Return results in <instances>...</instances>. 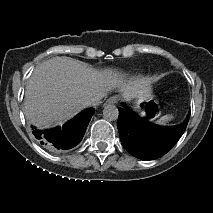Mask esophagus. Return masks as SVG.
<instances>
[{
    "label": "esophagus",
    "mask_w": 213,
    "mask_h": 213,
    "mask_svg": "<svg viewBox=\"0 0 213 213\" xmlns=\"http://www.w3.org/2000/svg\"><path fill=\"white\" fill-rule=\"evenodd\" d=\"M117 97L116 96H113V97H111V98H109L108 100H107V103L108 104H116L117 103Z\"/></svg>",
    "instance_id": "1"
}]
</instances>
